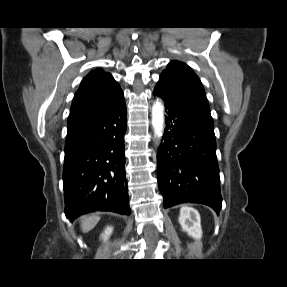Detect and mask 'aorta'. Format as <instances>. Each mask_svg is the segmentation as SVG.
<instances>
[{"instance_id":"762f6f07","label":"aorta","mask_w":287,"mask_h":287,"mask_svg":"<svg viewBox=\"0 0 287 287\" xmlns=\"http://www.w3.org/2000/svg\"><path fill=\"white\" fill-rule=\"evenodd\" d=\"M152 126L155 137L160 138L164 129V105L159 100L152 106Z\"/></svg>"}]
</instances>
